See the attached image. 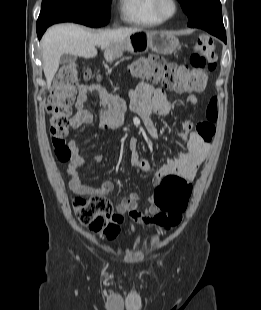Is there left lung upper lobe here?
Segmentation results:
<instances>
[{
	"label": "left lung upper lobe",
	"mask_w": 261,
	"mask_h": 310,
	"mask_svg": "<svg viewBox=\"0 0 261 310\" xmlns=\"http://www.w3.org/2000/svg\"><path fill=\"white\" fill-rule=\"evenodd\" d=\"M189 22L199 23L203 21L212 20L221 25L222 21V7L219 0H178Z\"/></svg>",
	"instance_id": "obj_1"
}]
</instances>
